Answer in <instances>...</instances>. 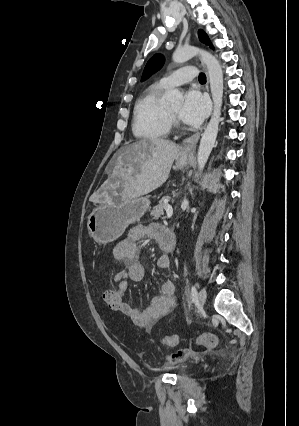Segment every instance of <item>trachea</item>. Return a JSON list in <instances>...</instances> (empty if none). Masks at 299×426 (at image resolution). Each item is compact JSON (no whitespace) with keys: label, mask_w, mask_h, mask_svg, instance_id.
<instances>
[{"label":"trachea","mask_w":299,"mask_h":426,"mask_svg":"<svg viewBox=\"0 0 299 426\" xmlns=\"http://www.w3.org/2000/svg\"><path fill=\"white\" fill-rule=\"evenodd\" d=\"M199 81L200 82H206V76H205L204 73H200V75H199Z\"/></svg>","instance_id":"trachea-1"}]
</instances>
